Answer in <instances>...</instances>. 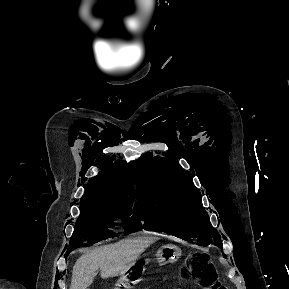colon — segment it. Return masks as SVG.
<instances>
[{"label":"colon","mask_w":289,"mask_h":289,"mask_svg":"<svg viewBox=\"0 0 289 289\" xmlns=\"http://www.w3.org/2000/svg\"><path fill=\"white\" fill-rule=\"evenodd\" d=\"M186 279L202 289H226L215 277L210 265L201 257L187 265Z\"/></svg>","instance_id":"obj_1"}]
</instances>
